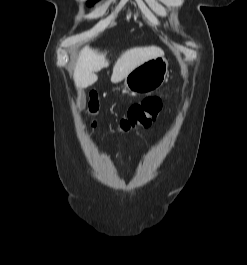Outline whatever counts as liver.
<instances>
[{
  "instance_id": "1",
  "label": "liver",
  "mask_w": 247,
  "mask_h": 265,
  "mask_svg": "<svg viewBox=\"0 0 247 265\" xmlns=\"http://www.w3.org/2000/svg\"><path fill=\"white\" fill-rule=\"evenodd\" d=\"M164 56V51L156 46L135 47L123 52L113 66L111 82L122 81L129 73L144 62ZM106 53L98 52L89 46L84 47L74 68L73 79L78 88L93 85L98 76L96 72L108 66Z\"/></svg>"
}]
</instances>
